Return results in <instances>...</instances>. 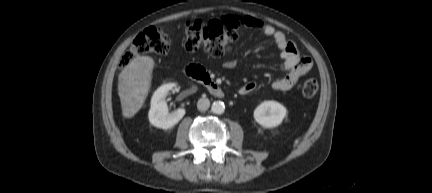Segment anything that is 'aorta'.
<instances>
[{
    "label": "aorta",
    "instance_id": "1",
    "mask_svg": "<svg viewBox=\"0 0 432 193\" xmlns=\"http://www.w3.org/2000/svg\"><path fill=\"white\" fill-rule=\"evenodd\" d=\"M211 110L215 114H222L225 111V105L222 101H215L212 104Z\"/></svg>",
    "mask_w": 432,
    "mask_h": 193
}]
</instances>
